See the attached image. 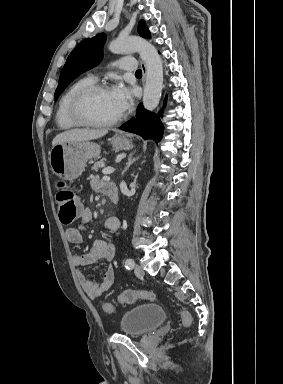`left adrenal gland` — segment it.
I'll list each match as a JSON object with an SVG mask.
<instances>
[{
	"instance_id": "a2214340",
	"label": "left adrenal gland",
	"mask_w": 283,
	"mask_h": 384,
	"mask_svg": "<svg viewBox=\"0 0 283 384\" xmlns=\"http://www.w3.org/2000/svg\"><path fill=\"white\" fill-rule=\"evenodd\" d=\"M135 152H131V154H129L128 156V162L121 174V176H124L125 172H127L128 168H130L131 164H133V162H136L137 158H133L132 160V156H134Z\"/></svg>"
}]
</instances>
